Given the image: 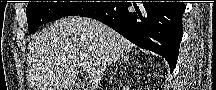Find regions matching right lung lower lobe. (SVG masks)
<instances>
[{"mask_svg":"<svg viewBox=\"0 0 216 90\" xmlns=\"http://www.w3.org/2000/svg\"><path fill=\"white\" fill-rule=\"evenodd\" d=\"M183 2H110L79 16L99 20L135 45L163 56L175 69L182 40Z\"/></svg>","mask_w":216,"mask_h":90,"instance_id":"right-lung-lower-lobe-1","label":"right lung lower lobe"}]
</instances>
